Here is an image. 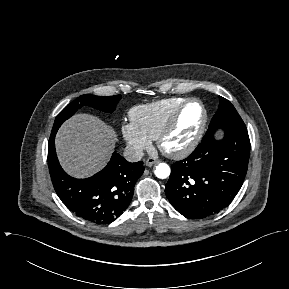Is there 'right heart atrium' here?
Wrapping results in <instances>:
<instances>
[{
	"mask_svg": "<svg viewBox=\"0 0 289 289\" xmlns=\"http://www.w3.org/2000/svg\"><path fill=\"white\" fill-rule=\"evenodd\" d=\"M121 134L127 145L136 153H140L151 146L152 139L132 121L122 124Z\"/></svg>",
	"mask_w": 289,
	"mask_h": 289,
	"instance_id": "right-heart-atrium-1",
	"label": "right heart atrium"
}]
</instances>
